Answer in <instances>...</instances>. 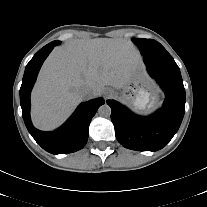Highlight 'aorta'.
Returning <instances> with one entry per match:
<instances>
[{
	"label": "aorta",
	"instance_id": "aorta-1",
	"mask_svg": "<svg viewBox=\"0 0 207 207\" xmlns=\"http://www.w3.org/2000/svg\"><path fill=\"white\" fill-rule=\"evenodd\" d=\"M98 114L102 117H109L111 115V108L109 105H101L98 109Z\"/></svg>",
	"mask_w": 207,
	"mask_h": 207
}]
</instances>
